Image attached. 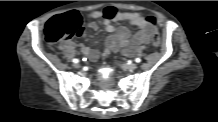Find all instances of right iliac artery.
I'll use <instances>...</instances> for the list:
<instances>
[{
	"label": "right iliac artery",
	"instance_id": "right-iliac-artery-1",
	"mask_svg": "<svg viewBox=\"0 0 218 122\" xmlns=\"http://www.w3.org/2000/svg\"><path fill=\"white\" fill-rule=\"evenodd\" d=\"M72 61H73L74 63H78V62H79L78 59H73Z\"/></svg>",
	"mask_w": 218,
	"mask_h": 122
}]
</instances>
